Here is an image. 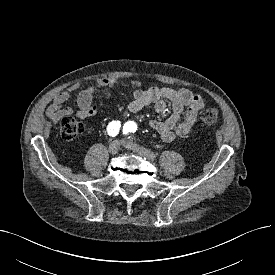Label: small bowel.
<instances>
[{
  "label": "small bowel",
  "mask_w": 275,
  "mask_h": 275,
  "mask_svg": "<svg viewBox=\"0 0 275 275\" xmlns=\"http://www.w3.org/2000/svg\"><path fill=\"white\" fill-rule=\"evenodd\" d=\"M115 78H102L96 83L83 88L78 96L76 107L65 106L73 91L80 88L75 83L58 93L47 109L48 117L56 122L67 115H75L80 119L93 117L97 114V107L93 105V96L98 89H110L115 87ZM131 84L138 89L132 94V100L128 104V110L136 113L141 109L152 106L158 113L166 110L167 101L171 103L173 112L165 120H151L150 127L155 130L163 141L171 142L177 136L184 137L193 130L199 111L204 107V100L200 95L193 94L190 90L172 89L168 87H149L142 89L141 82L132 80ZM183 113L184 118L182 119Z\"/></svg>",
  "instance_id": "obj_1"
}]
</instances>
